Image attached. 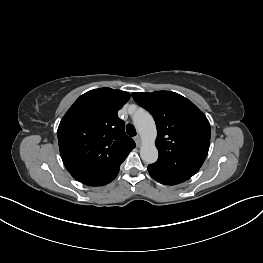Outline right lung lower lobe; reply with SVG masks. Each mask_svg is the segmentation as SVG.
Returning a JSON list of instances; mask_svg holds the SVG:
<instances>
[{"instance_id": "right-lung-lower-lobe-1", "label": "right lung lower lobe", "mask_w": 263, "mask_h": 263, "mask_svg": "<svg viewBox=\"0 0 263 263\" xmlns=\"http://www.w3.org/2000/svg\"><path fill=\"white\" fill-rule=\"evenodd\" d=\"M119 170H117L115 173H113L111 176L103 179V180H100V181H96V182H91V183H88L86 185H89V186H102V185H105V184H108L110 183L112 180H114V178L117 176Z\"/></svg>"}]
</instances>
